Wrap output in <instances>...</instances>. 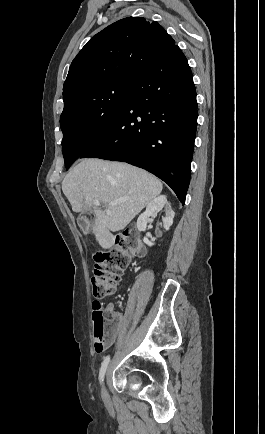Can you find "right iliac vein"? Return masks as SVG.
I'll use <instances>...</instances> for the list:
<instances>
[{
	"instance_id": "right-iliac-vein-1",
	"label": "right iliac vein",
	"mask_w": 265,
	"mask_h": 434,
	"mask_svg": "<svg viewBox=\"0 0 265 434\" xmlns=\"http://www.w3.org/2000/svg\"><path fill=\"white\" fill-rule=\"evenodd\" d=\"M102 397H103L104 401L107 402V405H110V402L108 401L109 400V395H108L106 387L104 385H103V388H102Z\"/></svg>"
}]
</instances>
